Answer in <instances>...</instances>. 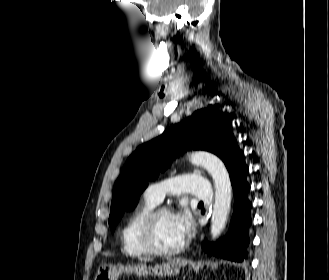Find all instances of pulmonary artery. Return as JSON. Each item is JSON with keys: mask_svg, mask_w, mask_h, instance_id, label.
<instances>
[{"mask_svg": "<svg viewBox=\"0 0 329 280\" xmlns=\"http://www.w3.org/2000/svg\"><path fill=\"white\" fill-rule=\"evenodd\" d=\"M190 193L195 197L209 201L213 191L210 182L195 173H187L172 177L162 182L152 184L145 190V196L156 202H161L166 194Z\"/></svg>", "mask_w": 329, "mask_h": 280, "instance_id": "1", "label": "pulmonary artery"}]
</instances>
